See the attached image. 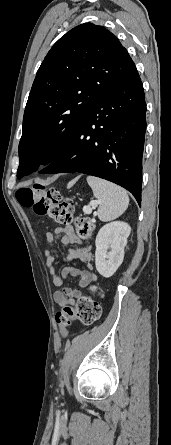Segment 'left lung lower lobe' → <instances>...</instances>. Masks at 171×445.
Masks as SVG:
<instances>
[{
	"mask_svg": "<svg viewBox=\"0 0 171 445\" xmlns=\"http://www.w3.org/2000/svg\"><path fill=\"white\" fill-rule=\"evenodd\" d=\"M146 103L137 70L110 86L83 114L40 173L80 172L116 183L141 204Z\"/></svg>",
	"mask_w": 171,
	"mask_h": 445,
	"instance_id": "1",
	"label": "left lung lower lobe"
}]
</instances>
